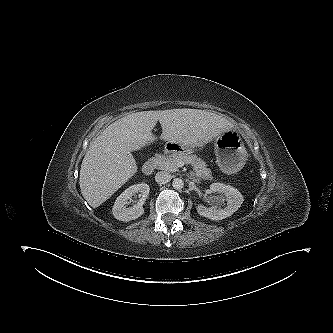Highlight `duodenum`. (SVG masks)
<instances>
[{
	"instance_id": "obj_1",
	"label": "duodenum",
	"mask_w": 333,
	"mask_h": 333,
	"mask_svg": "<svg viewBox=\"0 0 333 333\" xmlns=\"http://www.w3.org/2000/svg\"><path fill=\"white\" fill-rule=\"evenodd\" d=\"M169 149H165L161 153H157L154 156H152L150 159H148L142 166V172L145 174H151L154 169L162 162L165 153H167Z\"/></svg>"
}]
</instances>
